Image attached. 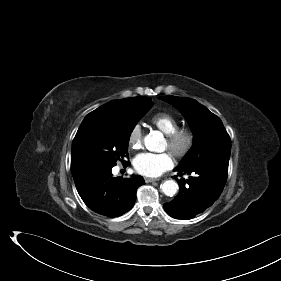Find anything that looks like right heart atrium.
Masks as SVG:
<instances>
[{"label":"right heart atrium","mask_w":281,"mask_h":281,"mask_svg":"<svg viewBox=\"0 0 281 281\" xmlns=\"http://www.w3.org/2000/svg\"><path fill=\"white\" fill-rule=\"evenodd\" d=\"M143 137V131L140 124H135L128 135V145L133 148L137 149L141 146Z\"/></svg>","instance_id":"d8ad5b80"}]
</instances>
